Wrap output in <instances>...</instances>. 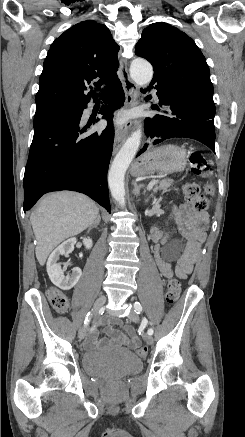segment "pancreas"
I'll return each instance as SVG.
<instances>
[{
	"mask_svg": "<svg viewBox=\"0 0 245 437\" xmlns=\"http://www.w3.org/2000/svg\"><path fill=\"white\" fill-rule=\"evenodd\" d=\"M173 185L172 179H163L159 181L158 186H156L153 191L157 192L158 190L167 191Z\"/></svg>",
	"mask_w": 245,
	"mask_h": 437,
	"instance_id": "obj_1",
	"label": "pancreas"
}]
</instances>
